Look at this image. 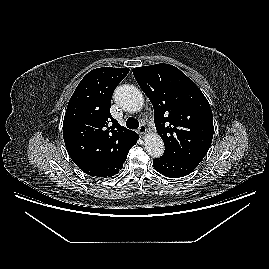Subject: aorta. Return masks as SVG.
Segmentation results:
<instances>
[{
	"mask_svg": "<svg viewBox=\"0 0 269 269\" xmlns=\"http://www.w3.org/2000/svg\"><path fill=\"white\" fill-rule=\"evenodd\" d=\"M116 102L129 112H137L142 109L144 98L138 88L132 85H122L118 87L114 94ZM144 145L147 153L159 158L164 152V143L158 133H149L144 138Z\"/></svg>",
	"mask_w": 269,
	"mask_h": 269,
	"instance_id": "1",
	"label": "aorta"
}]
</instances>
